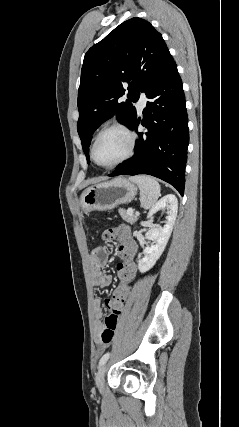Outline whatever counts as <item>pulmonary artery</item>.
<instances>
[{
  "instance_id": "obj_1",
  "label": "pulmonary artery",
  "mask_w": 239,
  "mask_h": 427,
  "mask_svg": "<svg viewBox=\"0 0 239 427\" xmlns=\"http://www.w3.org/2000/svg\"><path fill=\"white\" fill-rule=\"evenodd\" d=\"M147 98L144 93L141 94L140 99L138 101V109L143 110L146 107Z\"/></svg>"
}]
</instances>
